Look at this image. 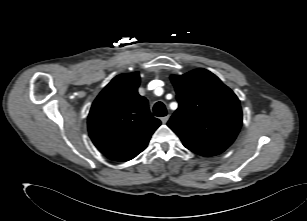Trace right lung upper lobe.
<instances>
[{
  "instance_id": "cb5924a9",
  "label": "right lung upper lobe",
  "mask_w": 307,
  "mask_h": 221,
  "mask_svg": "<svg viewBox=\"0 0 307 221\" xmlns=\"http://www.w3.org/2000/svg\"><path fill=\"white\" fill-rule=\"evenodd\" d=\"M138 72L116 76L101 91L88 115V131L94 145L114 161H128L148 145L160 126L148 101L138 94Z\"/></svg>"
}]
</instances>
